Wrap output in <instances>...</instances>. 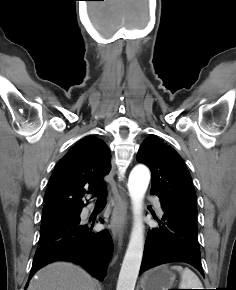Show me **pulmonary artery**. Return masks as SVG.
Returning <instances> with one entry per match:
<instances>
[{
	"label": "pulmonary artery",
	"instance_id": "obj_1",
	"mask_svg": "<svg viewBox=\"0 0 236 290\" xmlns=\"http://www.w3.org/2000/svg\"><path fill=\"white\" fill-rule=\"evenodd\" d=\"M155 207H156V210L159 214H162L163 213V210H162V207H161V204L159 201H156L155 202Z\"/></svg>",
	"mask_w": 236,
	"mask_h": 290
}]
</instances>
